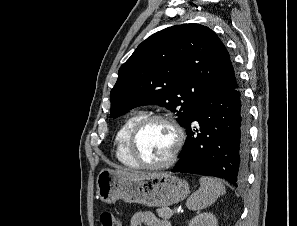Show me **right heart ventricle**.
<instances>
[{
    "mask_svg": "<svg viewBox=\"0 0 297 226\" xmlns=\"http://www.w3.org/2000/svg\"><path fill=\"white\" fill-rule=\"evenodd\" d=\"M143 116H145L143 111L130 114L122 122L115 136L116 158L129 168H139L128 152L127 141L132 127Z\"/></svg>",
    "mask_w": 297,
    "mask_h": 226,
    "instance_id": "1",
    "label": "right heart ventricle"
}]
</instances>
